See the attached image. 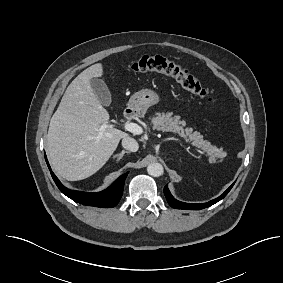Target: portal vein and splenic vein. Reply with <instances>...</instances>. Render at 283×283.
<instances>
[{"mask_svg":"<svg viewBox=\"0 0 283 283\" xmlns=\"http://www.w3.org/2000/svg\"><path fill=\"white\" fill-rule=\"evenodd\" d=\"M125 130L133 133L134 135H140L143 133V129L136 123L133 122H127L124 125ZM211 155V153H208Z\"/></svg>","mask_w":283,"mask_h":283,"instance_id":"1","label":"portal vein and splenic vein"}]
</instances>
